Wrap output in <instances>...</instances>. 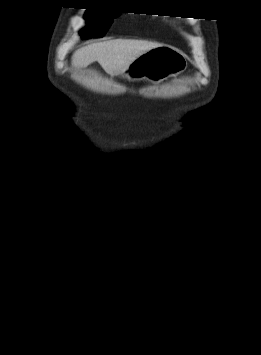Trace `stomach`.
<instances>
[{
  "instance_id": "stomach-1",
  "label": "stomach",
  "mask_w": 261,
  "mask_h": 355,
  "mask_svg": "<svg viewBox=\"0 0 261 355\" xmlns=\"http://www.w3.org/2000/svg\"><path fill=\"white\" fill-rule=\"evenodd\" d=\"M187 69L185 56L176 48L161 45L135 59L121 74L131 80L162 81Z\"/></svg>"
}]
</instances>
